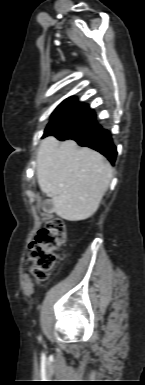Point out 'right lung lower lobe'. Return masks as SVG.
Returning <instances> with one entry per match:
<instances>
[{
	"instance_id": "right-lung-lower-lobe-1",
	"label": "right lung lower lobe",
	"mask_w": 145,
	"mask_h": 385,
	"mask_svg": "<svg viewBox=\"0 0 145 385\" xmlns=\"http://www.w3.org/2000/svg\"><path fill=\"white\" fill-rule=\"evenodd\" d=\"M53 136L59 140L73 139L80 146L90 147L106 156L114 165L117 156L116 147L111 134L96 122L93 110L86 112L70 127Z\"/></svg>"
}]
</instances>
